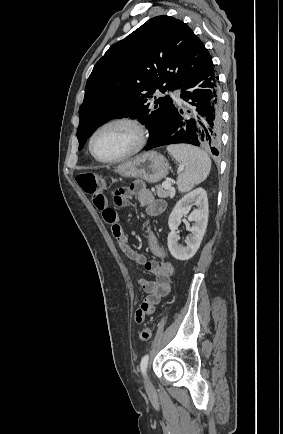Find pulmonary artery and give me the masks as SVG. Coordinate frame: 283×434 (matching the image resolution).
I'll return each mask as SVG.
<instances>
[{"instance_id":"obj_1","label":"pulmonary artery","mask_w":283,"mask_h":434,"mask_svg":"<svg viewBox=\"0 0 283 434\" xmlns=\"http://www.w3.org/2000/svg\"><path fill=\"white\" fill-rule=\"evenodd\" d=\"M168 94L172 97V98H174V99H176V100H179L180 98H179V95L177 94V93H175V92H168Z\"/></svg>"}]
</instances>
